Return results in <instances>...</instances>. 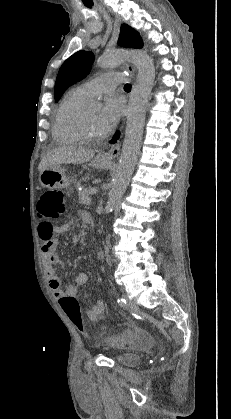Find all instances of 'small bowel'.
<instances>
[{
    "label": "small bowel",
    "instance_id": "small-bowel-1",
    "mask_svg": "<svg viewBox=\"0 0 231 419\" xmlns=\"http://www.w3.org/2000/svg\"><path fill=\"white\" fill-rule=\"evenodd\" d=\"M81 218L84 222L88 223V220L91 217L88 213H82ZM69 227L70 225L67 223L54 226L50 221L47 220L42 221L38 226V235L42 240L41 250L46 272L49 278V285L53 291L54 296L58 298L59 301L63 296L76 297L79 288L88 282V274L86 272H79L76 274L73 283L69 284L65 290L61 288V279L54 267L57 262L56 251L58 248V240L55 238V235L66 233ZM104 313L105 303L102 299H99L89 310H87L86 315L90 321L98 322L103 318ZM143 341H145L143 336L134 334L131 343L138 344Z\"/></svg>",
    "mask_w": 231,
    "mask_h": 419
}]
</instances>
